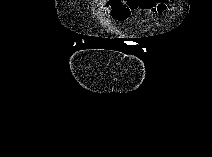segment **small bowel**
I'll return each instance as SVG.
<instances>
[{
  "instance_id": "obj_1",
  "label": "small bowel",
  "mask_w": 212,
  "mask_h": 157,
  "mask_svg": "<svg viewBox=\"0 0 212 157\" xmlns=\"http://www.w3.org/2000/svg\"><path fill=\"white\" fill-rule=\"evenodd\" d=\"M166 9V0H109L100 5V15L123 22L139 10L163 13Z\"/></svg>"
}]
</instances>
